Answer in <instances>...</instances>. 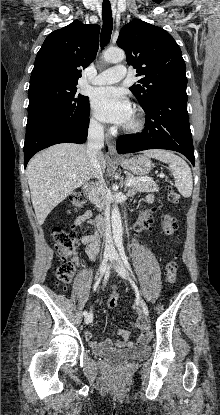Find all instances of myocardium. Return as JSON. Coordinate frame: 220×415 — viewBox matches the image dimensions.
Instances as JSON below:
<instances>
[{"mask_svg": "<svg viewBox=\"0 0 220 415\" xmlns=\"http://www.w3.org/2000/svg\"><path fill=\"white\" fill-rule=\"evenodd\" d=\"M144 127V119L140 112L134 111L133 119L130 123H126L124 129L128 132H139Z\"/></svg>", "mask_w": 220, "mask_h": 415, "instance_id": "f54148a6", "label": "myocardium"}]
</instances>
